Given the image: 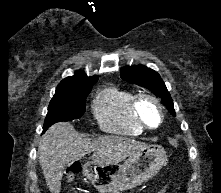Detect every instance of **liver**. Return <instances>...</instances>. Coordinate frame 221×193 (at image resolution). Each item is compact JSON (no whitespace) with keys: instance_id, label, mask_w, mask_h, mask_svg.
Segmentation results:
<instances>
[{"instance_id":"6515ba94","label":"liver","mask_w":221,"mask_h":193,"mask_svg":"<svg viewBox=\"0 0 221 193\" xmlns=\"http://www.w3.org/2000/svg\"><path fill=\"white\" fill-rule=\"evenodd\" d=\"M145 146L144 142L121 136L85 138L70 123L59 122L45 132L38 155L50 192L60 193L63 171L72 162L93 152L94 164H118Z\"/></svg>"}]
</instances>
